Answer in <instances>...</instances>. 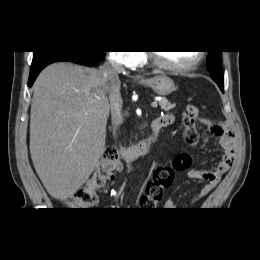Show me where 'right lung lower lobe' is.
Instances as JSON below:
<instances>
[{"instance_id":"right-lung-lower-lobe-1","label":"right lung lower lobe","mask_w":260,"mask_h":260,"mask_svg":"<svg viewBox=\"0 0 260 260\" xmlns=\"http://www.w3.org/2000/svg\"><path fill=\"white\" fill-rule=\"evenodd\" d=\"M105 57L104 51H54L40 52L33 56L28 86H31L38 74L47 65L59 62L69 61L87 66H94Z\"/></svg>"}]
</instances>
